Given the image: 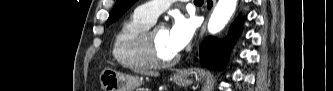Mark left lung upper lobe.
<instances>
[{
    "label": "left lung upper lobe",
    "instance_id": "5c2ea615",
    "mask_svg": "<svg viewBox=\"0 0 333 91\" xmlns=\"http://www.w3.org/2000/svg\"><path fill=\"white\" fill-rule=\"evenodd\" d=\"M135 2L136 0H117L111 15L108 18L107 26L120 18L125 13V11Z\"/></svg>",
    "mask_w": 333,
    "mask_h": 91
}]
</instances>
